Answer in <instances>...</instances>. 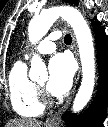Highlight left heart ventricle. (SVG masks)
<instances>
[{"instance_id":"b2bd125f","label":"left heart ventricle","mask_w":108,"mask_h":127,"mask_svg":"<svg viewBox=\"0 0 108 127\" xmlns=\"http://www.w3.org/2000/svg\"><path fill=\"white\" fill-rule=\"evenodd\" d=\"M39 84H40V85H43V84H44V81H40Z\"/></svg>"}]
</instances>
